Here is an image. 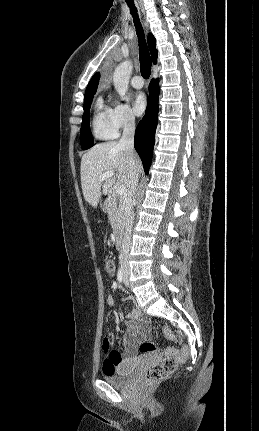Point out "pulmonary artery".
Returning <instances> with one entry per match:
<instances>
[{
    "mask_svg": "<svg viewBox=\"0 0 259 431\" xmlns=\"http://www.w3.org/2000/svg\"><path fill=\"white\" fill-rule=\"evenodd\" d=\"M131 85L136 88V89H140L143 87L144 85V81L142 79V77L140 75H135L132 79H131Z\"/></svg>",
    "mask_w": 259,
    "mask_h": 431,
    "instance_id": "obj_1",
    "label": "pulmonary artery"
}]
</instances>
